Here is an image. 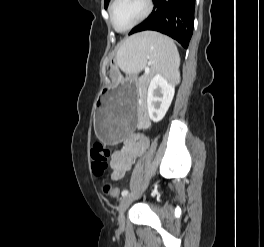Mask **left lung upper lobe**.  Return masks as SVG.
<instances>
[{"instance_id": "5c2ea615", "label": "left lung upper lobe", "mask_w": 264, "mask_h": 247, "mask_svg": "<svg viewBox=\"0 0 264 247\" xmlns=\"http://www.w3.org/2000/svg\"><path fill=\"white\" fill-rule=\"evenodd\" d=\"M109 1H110V0H105V2H104V7H105V9L107 8Z\"/></svg>"}]
</instances>
